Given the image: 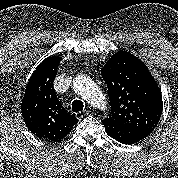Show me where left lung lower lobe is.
I'll use <instances>...</instances> for the list:
<instances>
[{"mask_svg": "<svg viewBox=\"0 0 178 178\" xmlns=\"http://www.w3.org/2000/svg\"><path fill=\"white\" fill-rule=\"evenodd\" d=\"M107 134L123 144H134L147 137L153 130L114 122L108 119L102 121Z\"/></svg>", "mask_w": 178, "mask_h": 178, "instance_id": "obj_1", "label": "left lung lower lobe"}]
</instances>
